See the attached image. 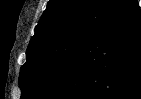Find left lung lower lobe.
I'll list each match as a JSON object with an SVG mask.
<instances>
[{"label":"left lung lower lobe","mask_w":141,"mask_h":99,"mask_svg":"<svg viewBox=\"0 0 141 99\" xmlns=\"http://www.w3.org/2000/svg\"><path fill=\"white\" fill-rule=\"evenodd\" d=\"M38 99H141L137 0H122Z\"/></svg>","instance_id":"1"}]
</instances>
